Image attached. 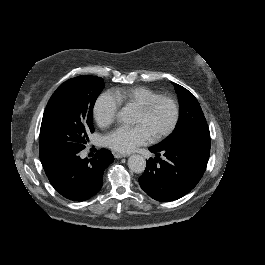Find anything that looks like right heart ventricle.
Wrapping results in <instances>:
<instances>
[{"mask_svg":"<svg viewBox=\"0 0 265 265\" xmlns=\"http://www.w3.org/2000/svg\"><path fill=\"white\" fill-rule=\"evenodd\" d=\"M111 96L123 109L138 110L145 102L160 95L157 91L146 86L121 87L111 90Z\"/></svg>","mask_w":265,"mask_h":265,"instance_id":"e07e8e85","label":"right heart ventricle"}]
</instances>
